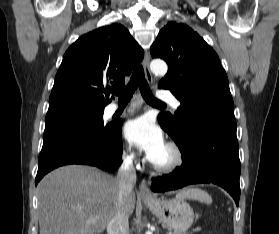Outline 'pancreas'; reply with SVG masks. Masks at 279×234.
Wrapping results in <instances>:
<instances>
[{"instance_id": "pancreas-1", "label": "pancreas", "mask_w": 279, "mask_h": 234, "mask_svg": "<svg viewBox=\"0 0 279 234\" xmlns=\"http://www.w3.org/2000/svg\"><path fill=\"white\" fill-rule=\"evenodd\" d=\"M169 234H177L176 232H171V233H169Z\"/></svg>"}]
</instances>
